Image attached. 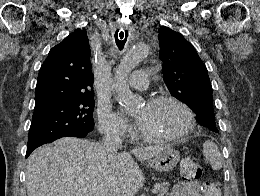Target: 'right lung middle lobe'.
<instances>
[{
    "label": "right lung middle lobe",
    "mask_w": 260,
    "mask_h": 196,
    "mask_svg": "<svg viewBox=\"0 0 260 196\" xmlns=\"http://www.w3.org/2000/svg\"><path fill=\"white\" fill-rule=\"evenodd\" d=\"M94 106V93L58 96L35 105L27 149L33 150L61 137L91 132Z\"/></svg>",
    "instance_id": "1"
}]
</instances>
